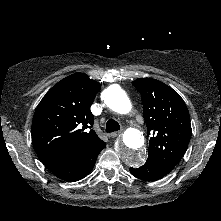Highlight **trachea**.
Segmentation results:
<instances>
[{
    "instance_id": "trachea-1",
    "label": "trachea",
    "mask_w": 221,
    "mask_h": 221,
    "mask_svg": "<svg viewBox=\"0 0 221 221\" xmlns=\"http://www.w3.org/2000/svg\"><path fill=\"white\" fill-rule=\"evenodd\" d=\"M106 132H114L120 130V125L117 121L114 119H109L107 124H106Z\"/></svg>"
}]
</instances>
